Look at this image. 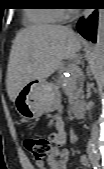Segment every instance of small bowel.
Wrapping results in <instances>:
<instances>
[{
  "label": "small bowel",
  "mask_w": 104,
  "mask_h": 169,
  "mask_svg": "<svg viewBox=\"0 0 104 169\" xmlns=\"http://www.w3.org/2000/svg\"><path fill=\"white\" fill-rule=\"evenodd\" d=\"M55 141L58 146H63L67 142V134L64 129V122L61 117L56 118ZM69 158V151L66 148L53 147L46 162H37L36 169H66ZM83 166L90 165V159L86 155L80 157Z\"/></svg>",
  "instance_id": "c3829d8e"
}]
</instances>
